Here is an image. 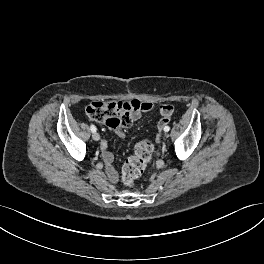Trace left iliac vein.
Returning a JSON list of instances; mask_svg holds the SVG:
<instances>
[{
  "label": "left iliac vein",
  "instance_id": "1",
  "mask_svg": "<svg viewBox=\"0 0 264 264\" xmlns=\"http://www.w3.org/2000/svg\"><path fill=\"white\" fill-rule=\"evenodd\" d=\"M165 138H166V139H169V138H170V135L167 133V134L165 135Z\"/></svg>",
  "mask_w": 264,
  "mask_h": 264
}]
</instances>
